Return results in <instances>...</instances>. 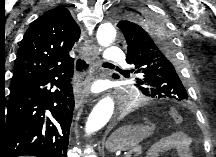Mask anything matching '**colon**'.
<instances>
[{
  "mask_svg": "<svg viewBox=\"0 0 216 157\" xmlns=\"http://www.w3.org/2000/svg\"><path fill=\"white\" fill-rule=\"evenodd\" d=\"M169 115H170V117L174 123H176V124L182 123L183 117L177 109H171L169 111Z\"/></svg>",
  "mask_w": 216,
  "mask_h": 157,
  "instance_id": "obj_1",
  "label": "colon"
}]
</instances>
